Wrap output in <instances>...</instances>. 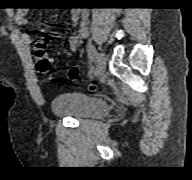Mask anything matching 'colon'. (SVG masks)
Segmentation results:
<instances>
[{
  "mask_svg": "<svg viewBox=\"0 0 192 180\" xmlns=\"http://www.w3.org/2000/svg\"><path fill=\"white\" fill-rule=\"evenodd\" d=\"M47 40L48 38H42L35 42L33 46V53L36 58L37 69L45 74L50 73L52 68V63L50 58L47 56ZM78 69L72 68L69 71V77L71 79H76L78 77Z\"/></svg>",
  "mask_w": 192,
  "mask_h": 180,
  "instance_id": "1",
  "label": "colon"
}]
</instances>
